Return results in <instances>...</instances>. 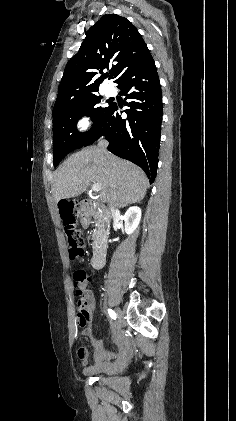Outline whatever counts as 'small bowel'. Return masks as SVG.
I'll list each match as a JSON object with an SVG mask.
<instances>
[{"label":"small bowel","instance_id":"1","mask_svg":"<svg viewBox=\"0 0 236 421\" xmlns=\"http://www.w3.org/2000/svg\"><path fill=\"white\" fill-rule=\"evenodd\" d=\"M93 304H94L93 294L91 292L85 293V295L82 297V299L80 301V305L83 306V307H85L88 311H90L91 308H92V306H93ZM83 334L89 336V335H91V332H90V330H84L83 331ZM118 339H120V336H115V340L117 341ZM100 348H102V350H103L102 344L101 343H97L96 344V361H97L98 356H99V353H100ZM107 353L111 357H113V358L116 357L115 354H112V353H109V352H107ZM87 357H88L87 352H86V354L83 357H80L79 356V358L82 359L83 361H86L87 360Z\"/></svg>","mask_w":236,"mask_h":421}]
</instances>
